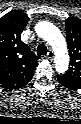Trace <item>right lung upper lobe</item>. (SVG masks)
<instances>
[{"instance_id":"cb5924a9","label":"right lung upper lobe","mask_w":81,"mask_h":124,"mask_svg":"<svg viewBox=\"0 0 81 124\" xmlns=\"http://www.w3.org/2000/svg\"><path fill=\"white\" fill-rule=\"evenodd\" d=\"M29 18L12 10L0 18V86L13 90L26 85L33 76L39 57L21 41Z\"/></svg>"}]
</instances>
